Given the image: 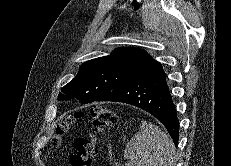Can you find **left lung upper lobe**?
Listing matches in <instances>:
<instances>
[{
  "label": "left lung upper lobe",
  "instance_id": "obj_1",
  "mask_svg": "<svg viewBox=\"0 0 231 166\" xmlns=\"http://www.w3.org/2000/svg\"><path fill=\"white\" fill-rule=\"evenodd\" d=\"M155 60L140 48L122 47L110 55L83 63L74 79L62 88L58 100L96 101L129 80Z\"/></svg>",
  "mask_w": 231,
  "mask_h": 166
}]
</instances>
